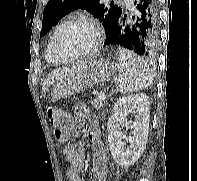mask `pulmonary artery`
Returning a JSON list of instances; mask_svg holds the SVG:
<instances>
[{
    "label": "pulmonary artery",
    "mask_w": 197,
    "mask_h": 181,
    "mask_svg": "<svg viewBox=\"0 0 197 181\" xmlns=\"http://www.w3.org/2000/svg\"><path fill=\"white\" fill-rule=\"evenodd\" d=\"M126 5H127L128 8H133L132 0H126Z\"/></svg>",
    "instance_id": "1"
}]
</instances>
